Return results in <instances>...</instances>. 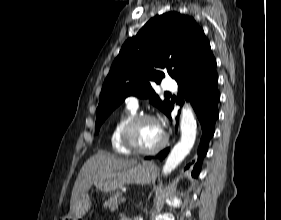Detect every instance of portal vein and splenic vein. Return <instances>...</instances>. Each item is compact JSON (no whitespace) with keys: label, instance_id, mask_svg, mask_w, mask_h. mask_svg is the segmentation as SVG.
<instances>
[{"label":"portal vein and splenic vein","instance_id":"obj_1","mask_svg":"<svg viewBox=\"0 0 281 220\" xmlns=\"http://www.w3.org/2000/svg\"><path fill=\"white\" fill-rule=\"evenodd\" d=\"M126 200H127V199H126L125 197H122V198H121V202H122V203H125Z\"/></svg>","mask_w":281,"mask_h":220}]
</instances>
